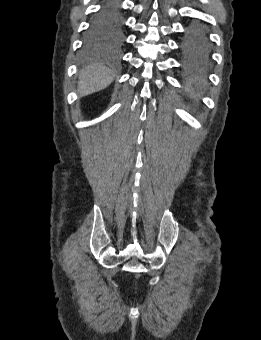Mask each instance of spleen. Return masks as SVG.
Here are the masks:
<instances>
[{"label":"spleen","mask_w":261,"mask_h":340,"mask_svg":"<svg viewBox=\"0 0 261 340\" xmlns=\"http://www.w3.org/2000/svg\"><path fill=\"white\" fill-rule=\"evenodd\" d=\"M192 81H193V83L196 84V85H198V84L200 83V79H199L198 77H194V78L192 79Z\"/></svg>","instance_id":"1"}]
</instances>
